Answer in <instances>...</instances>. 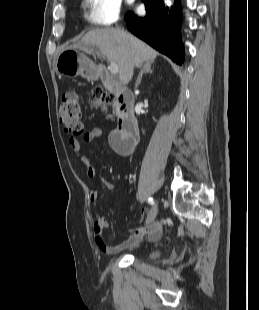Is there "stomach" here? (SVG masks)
Wrapping results in <instances>:
<instances>
[{
  "instance_id": "obj_1",
  "label": "stomach",
  "mask_w": 259,
  "mask_h": 310,
  "mask_svg": "<svg viewBox=\"0 0 259 310\" xmlns=\"http://www.w3.org/2000/svg\"><path fill=\"white\" fill-rule=\"evenodd\" d=\"M93 68L92 62L79 49L72 47L63 49L56 61V70L69 77L81 75L88 79H94Z\"/></svg>"
}]
</instances>
